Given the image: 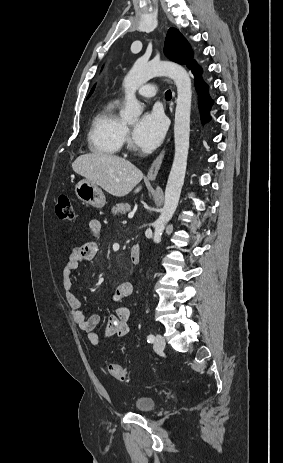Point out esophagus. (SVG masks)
<instances>
[{
    "instance_id": "obj_1",
    "label": "esophagus",
    "mask_w": 283,
    "mask_h": 463,
    "mask_svg": "<svg viewBox=\"0 0 283 463\" xmlns=\"http://www.w3.org/2000/svg\"><path fill=\"white\" fill-rule=\"evenodd\" d=\"M164 155H165V148L160 152V154L156 157V159L154 160V162L152 163L149 171H148V174H147V178L149 180H154L158 174V171L161 167V164H162V160L164 158Z\"/></svg>"
}]
</instances>
